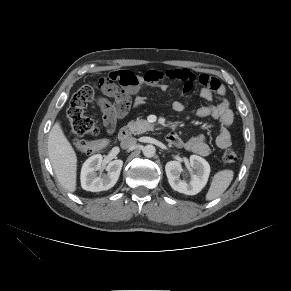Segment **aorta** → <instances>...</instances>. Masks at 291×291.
<instances>
[{
  "mask_svg": "<svg viewBox=\"0 0 291 291\" xmlns=\"http://www.w3.org/2000/svg\"><path fill=\"white\" fill-rule=\"evenodd\" d=\"M145 157L151 158L155 155L156 149L153 145H146L142 149Z\"/></svg>",
  "mask_w": 291,
  "mask_h": 291,
  "instance_id": "aorta-1",
  "label": "aorta"
}]
</instances>
